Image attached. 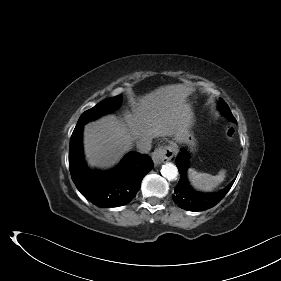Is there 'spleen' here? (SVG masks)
I'll return each instance as SVG.
<instances>
[{
	"label": "spleen",
	"mask_w": 281,
	"mask_h": 281,
	"mask_svg": "<svg viewBox=\"0 0 281 281\" xmlns=\"http://www.w3.org/2000/svg\"><path fill=\"white\" fill-rule=\"evenodd\" d=\"M188 179L190 184L199 191L210 192L221 184L226 177V170L221 169L218 175H211L208 173L197 172L195 169H188Z\"/></svg>",
	"instance_id": "spleen-1"
}]
</instances>
